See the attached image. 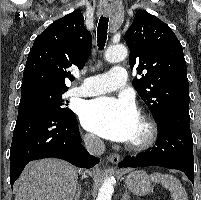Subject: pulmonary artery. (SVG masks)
I'll return each mask as SVG.
<instances>
[{"mask_svg":"<svg viewBox=\"0 0 201 200\" xmlns=\"http://www.w3.org/2000/svg\"><path fill=\"white\" fill-rule=\"evenodd\" d=\"M126 72L122 67H113L103 74L89 76L79 87L69 90V95L77 97H90L111 92L125 85Z\"/></svg>","mask_w":201,"mask_h":200,"instance_id":"pulmonary-artery-1","label":"pulmonary artery"}]
</instances>
